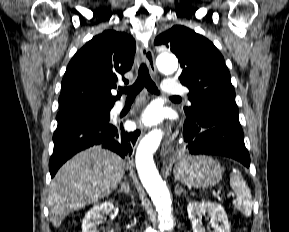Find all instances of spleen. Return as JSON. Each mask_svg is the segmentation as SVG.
Masks as SVG:
<instances>
[{
  "label": "spleen",
  "mask_w": 289,
  "mask_h": 232,
  "mask_svg": "<svg viewBox=\"0 0 289 232\" xmlns=\"http://www.w3.org/2000/svg\"><path fill=\"white\" fill-rule=\"evenodd\" d=\"M230 185L236 195V198L233 201L234 205L241 213L249 217L253 208L252 195L246 181L239 171L234 170L231 173Z\"/></svg>",
  "instance_id": "3e777b00"
}]
</instances>
